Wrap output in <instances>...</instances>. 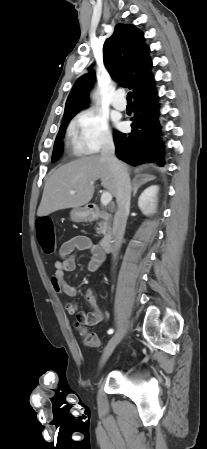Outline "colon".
Wrapping results in <instances>:
<instances>
[{"instance_id":"1","label":"colon","mask_w":207,"mask_h":449,"mask_svg":"<svg viewBox=\"0 0 207 449\" xmlns=\"http://www.w3.org/2000/svg\"><path fill=\"white\" fill-rule=\"evenodd\" d=\"M37 235L44 253H53L56 249L54 226L47 217H41L37 220ZM75 326L80 330L84 343L90 347H99L100 340L96 333L87 331L77 320Z\"/></svg>"}]
</instances>
